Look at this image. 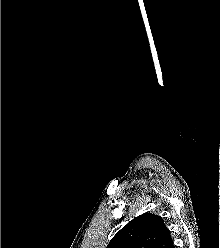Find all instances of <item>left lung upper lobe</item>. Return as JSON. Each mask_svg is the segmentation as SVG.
I'll return each mask as SVG.
<instances>
[{
	"mask_svg": "<svg viewBox=\"0 0 220 248\" xmlns=\"http://www.w3.org/2000/svg\"><path fill=\"white\" fill-rule=\"evenodd\" d=\"M172 243L163 219L144 213L119 230L106 248H169Z\"/></svg>",
	"mask_w": 220,
	"mask_h": 248,
	"instance_id": "left-lung-upper-lobe-1",
	"label": "left lung upper lobe"
}]
</instances>
